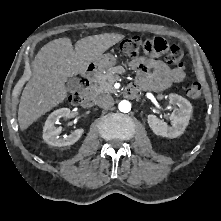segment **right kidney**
Returning a JSON list of instances; mask_svg holds the SVG:
<instances>
[{
	"mask_svg": "<svg viewBox=\"0 0 221 221\" xmlns=\"http://www.w3.org/2000/svg\"><path fill=\"white\" fill-rule=\"evenodd\" d=\"M70 116L71 111L69 108L57 109L49 115L43 127V139L47 144L58 147L70 146L80 139L84 133V129H76L70 135L63 138L59 136L62 128L56 127V124L60 118L68 119Z\"/></svg>",
	"mask_w": 221,
	"mask_h": 221,
	"instance_id": "ca27d5eb",
	"label": "right kidney"
}]
</instances>
